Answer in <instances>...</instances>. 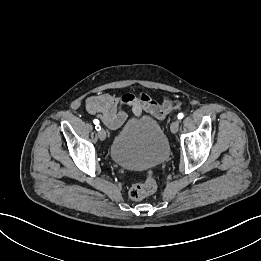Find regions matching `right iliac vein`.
I'll return each mask as SVG.
<instances>
[{"label":"right iliac vein","instance_id":"obj_1","mask_svg":"<svg viewBox=\"0 0 261 261\" xmlns=\"http://www.w3.org/2000/svg\"><path fill=\"white\" fill-rule=\"evenodd\" d=\"M98 137L101 141H104L106 139V132L104 129L99 130Z\"/></svg>","mask_w":261,"mask_h":261}]
</instances>
